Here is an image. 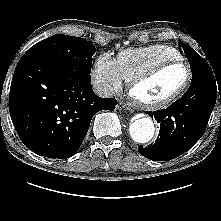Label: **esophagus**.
I'll use <instances>...</instances> for the list:
<instances>
[{"instance_id": "esophagus-1", "label": "esophagus", "mask_w": 221, "mask_h": 221, "mask_svg": "<svg viewBox=\"0 0 221 221\" xmlns=\"http://www.w3.org/2000/svg\"><path fill=\"white\" fill-rule=\"evenodd\" d=\"M117 109L118 110H128L130 112H133V109L131 107H129L127 104H125L124 102L120 101L117 105Z\"/></svg>"}]
</instances>
